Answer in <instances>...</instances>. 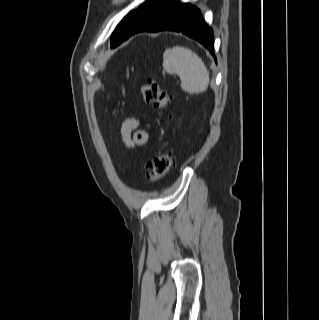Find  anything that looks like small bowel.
<instances>
[{
    "mask_svg": "<svg viewBox=\"0 0 319 320\" xmlns=\"http://www.w3.org/2000/svg\"><path fill=\"white\" fill-rule=\"evenodd\" d=\"M120 134L125 146L132 148L143 146L148 142V134L140 129V122L135 118L124 120L120 127Z\"/></svg>",
    "mask_w": 319,
    "mask_h": 320,
    "instance_id": "c3829d8e",
    "label": "small bowel"
}]
</instances>
